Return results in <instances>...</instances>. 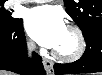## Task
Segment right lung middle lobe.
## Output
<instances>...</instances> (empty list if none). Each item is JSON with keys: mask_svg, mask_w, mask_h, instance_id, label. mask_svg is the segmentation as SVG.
<instances>
[{"mask_svg": "<svg viewBox=\"0 0 102 75\" xmlns=\"http://www.w3.org/2000/svg\"><path fill=\"white\" fill-rule=\"evenodd\" d=\"M4 2L0 1V25H12L19 19L11 16V12L4 8Z\"/></svg>", "mask_w": 102, "mask_h": 75, "instance_id": "1", "label": "right lung middle lobe"}]
</instances>
